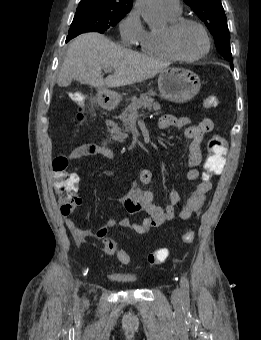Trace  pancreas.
<instances>
[{
  "instance_id": "cf45deb5",
  "label": "pancreas",
  "mask_w": 261,
  "mask_h": 340,
  "mask_svg": "<svg viewBox=\"0 0 261 340\" xmlns=\"http://www.w3.org/2000/svg\"><path fill=\"white\" fill-rule=\"evenodd\" d=\"M156 93L154 91H149L148 93L141 94L139 98L133 97L131 98V103L124 109L122 114L120 115V119L123 122L125 130H121L116 124L113 125V128L109 130L112 139L118 142H124L128 137L127 132H129L130 126V117L133 113H135L140 108H145L151 111L152 109L155 111L160 110V105L158 102L152 98Z\"/></svg>"
}]
</instances>
